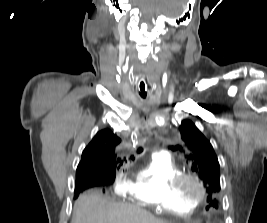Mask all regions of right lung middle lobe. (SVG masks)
Segmentation results:
<instances>
[{"mask_svg": "<svg viewBox=\"0 0 267 223\" xmlns=\"http://www.w3.org/2000/svg\"><path fill=\"white\" fill-rule=\"evenodd\" d=\"M115 176H116V168L115 167L107 169V171L103 175V177L108 181H113L115 179ZM76 197L77 196H75V198Z\"/></svg>", "mask_w": 267, "mask_h": 223, "instance_id": "1", "label": "right lung middle lobe"}]
</instances>
